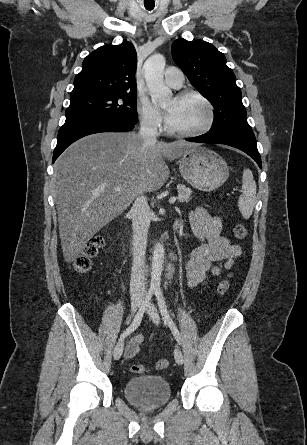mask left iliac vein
I'll use <instances>...</instances> for the list:
<instances>
[{
	"instance_id": "left-iliac-vein-1",
	"label": "left iliac vein",
	"mask_w": 307,
	"mask_h": 445,
	"mask_svg": "<svg viewBox=\"0 0 307 445\" xmlns=\"http://www.w3.org/2000/svg\"><path fill=\"white\" fill-rule=\"evenodd\" d=\"M146 313L148 314L150 319L153 321V323L159 324L160 317H159V313H158L156 307L154 306V304L150 303L148 305ZM174 358L178 365L183 364V361H184L183 354H182V351L178 347L175 348V350H174Z\"/></svg>"
}]
</instances>
